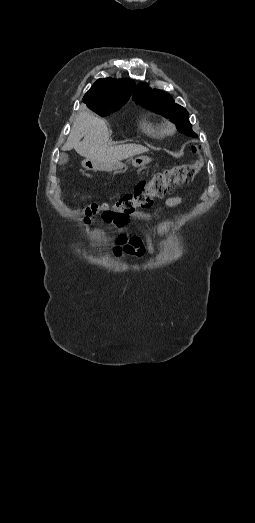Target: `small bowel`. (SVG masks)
<instances>
[{
  "mask_svg": "<svg viewBox=\"0 0 255 523\" xmlns=\"http://www.w3.org/2000/svg\"><path fill=\"white\" fill-rule=\"evenodd\" d=\"M185 203L186 201L180 197H171L165 200L164 206L171 208L184 205ZM132 217L148 222H155L156 220V217H154L152 214L142 211L134 212ZM118 226H122V224ZM142 232L144 234V240L137 234L132 233L127 235L123 231H120L116 239L117 245L112 249L113 255L116 258H141L146 252L155 254L157 250L154 247L151 235L145 230H142Z\"/></svg>",
  "mask_w": 255,
  "mask_h": 523,
  "instance_id": "obj_1",
  "label": "small bowel"
}]
</instances>
